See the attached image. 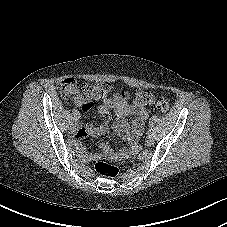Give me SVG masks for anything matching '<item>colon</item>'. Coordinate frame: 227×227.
Instances as JSON below:
<instances>
[{
	"instance_id": "1",
	"label": "colon",
	"mask_w": 227,
	"mask_h": 227,
	"mask_svg": "<svg viewBox=\"0 0 227 227\" xmlns=\"http://www.w3.org/2000/svg\"><path fill=\"white\" fill-rule=\"evenodd\" d=\"M109 91V84H81L75 78H66L61 84V94L65 98H75L80 92H83L88 101L91 99H103ZM135 99L141 104L150 105L155 102V95L148 90H138ZM156 107L162 113H167L170 108L168 101L165 99H160L156 103ZM95 170L99 174L109 178H115L119 174V169L116 166L104 161L97 162L95 164Z\"/></svg>"
}]
</instances>
